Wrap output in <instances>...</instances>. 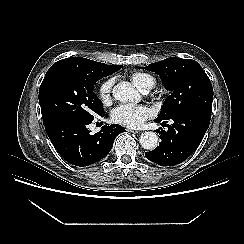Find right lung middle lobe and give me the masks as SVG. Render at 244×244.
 Listing matches in <instances>:
<instances>
[{
    "label": "right lung middle lobe",
    "mask_w": 244,
    "mask_h": 244,
    "mask_svg": "<svg viewBox=\"0 0 244 244\" xmlns=\"http://www.w3.org/2000/svg\"><path fill=\"white\" fill-rule=\"evenodd\" d=\"M122 68L117 65L114 72ZM91 77L63 66L50 67L39 89L43 123L64 118L93 120L104 115L102 103L93 92L95 83L107 76Z\"/></svg>",
    "instance_id": "right-lung-middle-lobe-1"
}]
</instances>
